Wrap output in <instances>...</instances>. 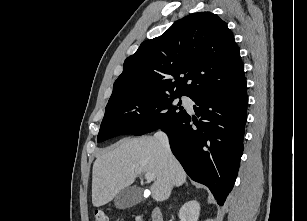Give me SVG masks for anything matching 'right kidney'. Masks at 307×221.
Returning <instances> with one entry per match:
<instances>
[{"mask_svg": "<svg viewBox=\"0 0 307 221\" xmlns=\"http://www.w3.org/2000/svg\"><path fill=\"white\" fill-rule=\"evenodd\" d=\"M200 214V204L196 200H190L182 205L179 210L181 221H198Z\"/></svg>", "mask_w": 307, "mask_h": 221, "instance_id": "right-kidney-1", "label": "right kidney"}]
</instances>
